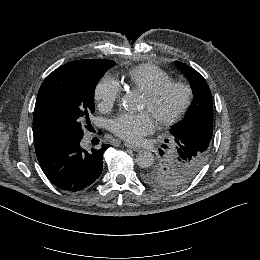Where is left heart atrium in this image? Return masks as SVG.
I'll return each mask as SVG.
<instances>
[{
    "mask_svg": "<svg viewBox=\"0 0 260 260\" xmlns=\"http://www.w3.org/2000/svg\"><path fill=\"white\" fill-rule=\"evenodd\" d=\"M154 128L155 123L147 110L137 114L122 113L111 123L112 132L129 142H138Z\"/></svg>",
    "mask_w": 260,
    "mask_h": 260,
    "instance_id": "39dd6f15",
    "label": "left heart atrium"
}]
</instances>
